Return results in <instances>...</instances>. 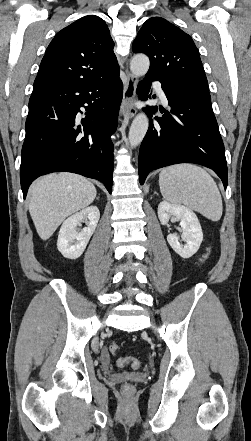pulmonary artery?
Listing matches in <instances>:
<instances>
[{
	"instance_id": "1",
	"label": "pulmonary artery",
	"mask_w": 251,
	"mask_h": 441,
	"mask_svg": "<svg viewBox=\"0 0 251 441\" xmlns=\"http://www.w3.org/2000/svg\"><path fill=\"white\" fill-rule=\"evenodd\" d=\"M153 86H154L156 92L158 93L159 97L161 98V100L164 103H167V98H166V95H165V93L163 91L161 83L156 81V82L153 83Z\"/></svg>"
}]
</instances>
